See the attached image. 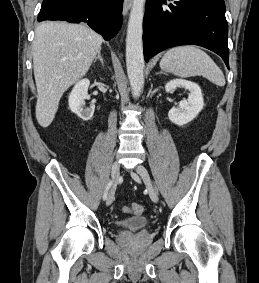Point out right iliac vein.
Returning a JSON list of instances; mask_svg holds the SVG:
<instances>
[{"label": "right iliac vein", "mask_w": 259, "mask_h": 283, "mask_svg": "<svg viewBox=\"0 0 259 283\" xmlns=\"http://www.w3.org/2000/svg\"><path fill=\"white\" fill-rule=\"evenodd\" d=\"M119 174H120V164L119 162L115 161L112 165V169H111V177L113 180V186L109 192L108 195V199H107V205H110L113 200H114V194H115V187H116V182L119 178Z\"/></svg>", "instance_id": "obj_1"}]
</instances>
